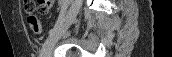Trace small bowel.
<instances>
[{"instance_id":"1","label":"small bowel","mask_w":172,"mask_h":57,"mask_svg":"<svg viewBox=\"0 0 172 57\" xmlns=\"http://www.w3.org/2000/svg\"><path fill=\"white\" fill-rule=\"evenodd\" d=\"M54 4L53 0H44L39 4V11L43 14H47ZM28 1H25V9L27 10Z\"/></svg>"}]
</instances>
